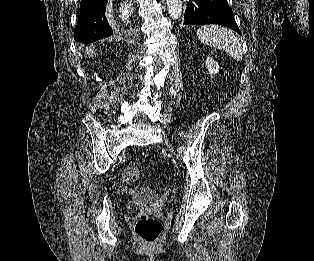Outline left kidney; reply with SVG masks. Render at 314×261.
<instances>
[{"mask_svg":"<svg viewBox=\"0 0 314 261\" xmlns=\"http://www.w3.org/2000/svg\"><path fill=\"white\" fill-rule=\"evenodd\" d=\"M205 66L208 70V73L210 75L216 74L219 72V65L218 63L213 60L211 57H207L206 61H205Z\"/></svg>","mask_w":314,"mask_h":261,"instance_id":"5707ae66","label":"left kidney"}]
</instances>
